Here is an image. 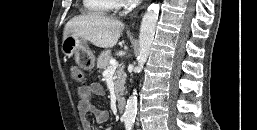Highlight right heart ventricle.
I'll return each instance as SVG.
<instances>
[{
  "label": "right heart ventricle",
  "mask_w": 257,
  "mask_h": 130,
  "mask_svg": "<svg viewBox=\"0 0 257 130\" xmlns=\"http://www.w3.org/2000/svg\"><path fill=\"white\" fill-rule=\"evenodd\" d=\"M84 9L96 15H108L119 6V0H83Z\"/></svg>",
  "instance_id": "1"
}]
</instances>
